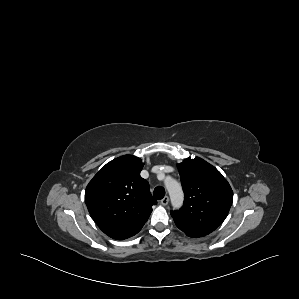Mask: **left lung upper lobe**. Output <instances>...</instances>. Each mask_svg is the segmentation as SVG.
Returning a JSON list of instances; mask_svg holds the SVG:
<instances>
[{"label":"left lung upper lobe","mask_w":299,"mask_h":299,"mask_svg":"<svg viewBox=\"0 0 299 299\" xmlns=\"http://www.w3.org/2000/svg\"><path fill=\"white\" fill-rule=\"evenodd\" d=\"M184 205L171 212L177 227L189 237L213 232L227 217L233 192L222 174L201 158H187L178 165Z\"/></svg>","instance_id":"obj_1"}]
</instances>
